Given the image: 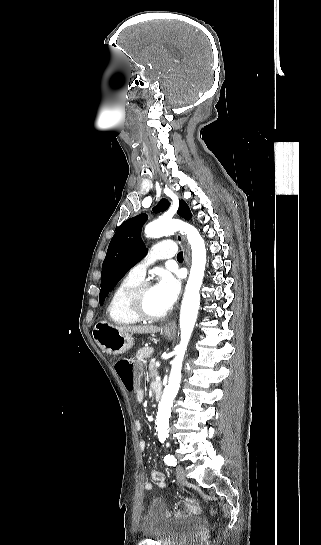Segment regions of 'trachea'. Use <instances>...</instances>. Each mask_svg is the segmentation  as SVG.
<instances>
[{
  "mask_svg": "<svg viewBox=\"0 0 321 545\" xmlns=\"http://www.w3.org/2000/svg\"><path fill=\"white\" fill-rule=\"evenodd\" d=\"M177 260H183V252L177 254Z\"/></svg>",
  "mask_w": 321,
  "mask_h": 545,
  "instance_id": "trachea-1",
  "label": "trachea"
}]
</instances>
